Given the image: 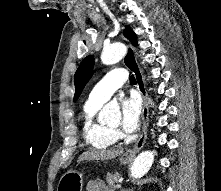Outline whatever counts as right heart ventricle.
<instances>
[{"instance_id": "obj_1", "label": "right heart ventricle", "mask_w": 221, "mask_h": 191, "mask_svg": "<svg viewBox=\"0 0 221 191\" xmlns=\"http://www.w3.org/2000/svg\"><path fill=\"white\" fill-rule=\"evenodd\" d=\"M102 104L87 100L82 109L83 138L88 146L96 149H106L116 142L114 131L96 118Z\"/></svg>"}]
</instances>
